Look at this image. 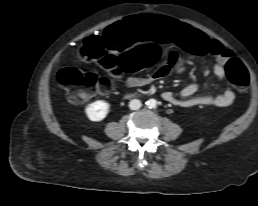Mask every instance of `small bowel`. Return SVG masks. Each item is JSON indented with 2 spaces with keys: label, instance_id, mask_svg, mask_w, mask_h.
Segmentation results:
<instances>
[{
  "label": "small bowel",
  "instance_id": "small-bowel-1",
  "mask_svg": "<svg viewBox=\"0 0 258 206\" xmlns=\"http://www.w3.org/2000/svg\"><path fill=\"white\" fill-rule=\"evenodd\" d=\"M114 27H110L104 34V38L91 37L90 41H101L108 49L112 51H122V43L116 39ZM166 42L173 43L183 51L192 54H211L215 57V63L205 74L213 73L218 79L225 77V64L232 57L230 49L224 47L219 41L209 39L203 32L194 29L188 25L180 24L179 31L175 36H166ZM186 69L185 62L179 57L177 51L169 50L167 60L152 75L147 77H127L124 84L127 87H139L149 84L157 79L168 76L171 72H183ZM199 90V85L192 83L184 87L177 97L172 91L162 93V98L176 106L189 108L194 106H217L226 107L233 103L235 94L230 87H227L223 93L218 95H200L195 96Z\"/></svg>",
  "mask_w": 258,
  "mask_h": 206
}]
</instances>
